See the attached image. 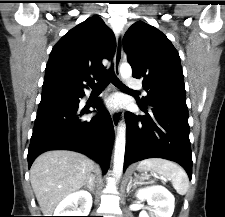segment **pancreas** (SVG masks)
Listing matches in <instances>:
<instances>
[{
    "label": "pancreas",
    "mask_w": 225,
    "mask_h": 217,
    "mask_svg": "<svg viewBox=\"0 0 225 217\" xmlns=\"http://www.w3.org/2000/svg\"><path fill=\"white\" fill-rule=\"evenodd\" d=\"M145 179H147V176L146 177H139V176H136V178H135V183H139V182H142L143 180H145Z\"/></svg>",
    "instance_id": "cf45deb5"
}]
</instances>
